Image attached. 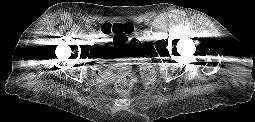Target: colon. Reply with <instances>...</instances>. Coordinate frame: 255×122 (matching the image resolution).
<instances>
[{"instance_id": "5ec220e1", "label": "colon", "mask_w": 255, "mask_h": 122, "mask_svg": "<svg viewBox=\"0 0 255 122\" xmlns=\"http://www.w3.org/2000/svg\"><path fill=\"white\" fill-rule=\"evenodd\" d=\"M134 30V26L130 23H116L113 25L106 24L103 27V32L106 35L123 34L125 36H130L134 33ZM141 74L145 87L152 88L156 79V71L154 66L151 63H144L141 67ZM135 83V75L132 72H125L116 78L114 86L117 92L126 94L134 87Z\"/></svg>"}]
</instances>
